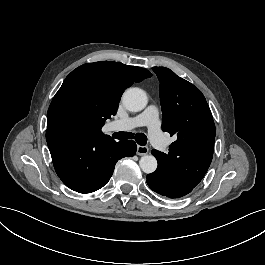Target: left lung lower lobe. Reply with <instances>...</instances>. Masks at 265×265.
Returning a JSON list of instances; mask_svg holds the SVG:
<instances>
[{"instance_id":"1","label":"left lung lower lobe","mask_w":265,"mask_h":265,"mask_svg":"<svg viewBox=\"0 0 265 265\" xmlns=\"http://www.w3.org/2000/svg\"><path fill=\"white\" fill-rule=\"evenodd\" d=\"M147 184L154 192L169 198L185 196L196 187L161 163L155 172L147 175Z\"/></svg>"}]
</instances>
